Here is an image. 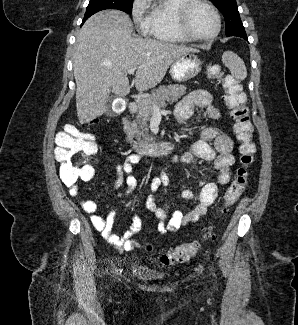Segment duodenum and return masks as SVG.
Returning <instances> with one entry per match:
<instances>
[{"instance_id": "obj_1", "label": "duodenum", "mask_w": 298, "mask_h": 325, "mask_svg": "<svg viewBox=\"0 0 298 325\" xmlns=\"http://www.w3.org/2000/svg\"><path fill=\"white\" fill-rule=\"evenodd\" d=\"M138 110V105L135 102H130L128 105V112L130 115L135 114ZM121 128L125 135L128 144L135 148L140 153H147L151 155L166 154L172 149V145L168 142L159 143H137L133 140L129 133V117H124L121 122Z\"/></svg>"}]
</instances>
